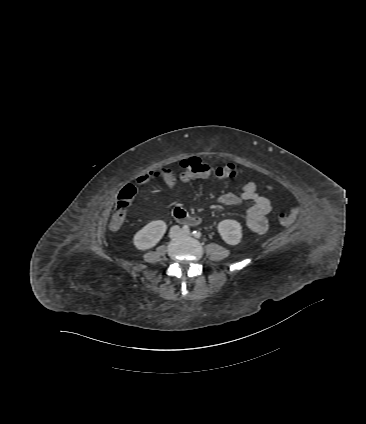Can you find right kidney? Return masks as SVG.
Wrapping results in <instances>:
<instances>
[{
  "instance_id": "ca27d5eb",
  "label": "right kidney",
  "mask_w": 366,
  "mask_h": 424,
  "mask_svg": "<svg viewBox=\"0 0 366 424\" xmlns=\"http://www.w3.org/2000/svg\"><path fill=\"white\" fill-rule=\"evenodd\" d=\"M166 229L167 225L162 220L150 222L134 235L135 247L142 251L154 247L161 240Z\"/></svg>"
}]
</instances>
